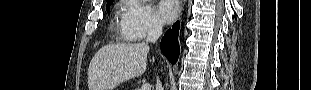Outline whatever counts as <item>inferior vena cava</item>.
Returning <instances> with one entry per match:
<instances>
[{
    "mask_svg": "<svg viewBox=\"0 0 311 90\" xmlns=\"http://www.w3.org/2000/svg\"><path fill=\"white\" fill-rule=\"evenodd\" d=\"M161 34H162V26L158 23H153L148 30V36L146 42L144 43V46L146 48H149L151 46V43H155L161 36ZM156 90H163L162 84L158 77L156 80Z\"/></svg>",
    "mask_w": 311,
    "mask_h": 90,
    "instance_id": "obj_1",
    "label": "inferior vena cava"
}]
</instances>
